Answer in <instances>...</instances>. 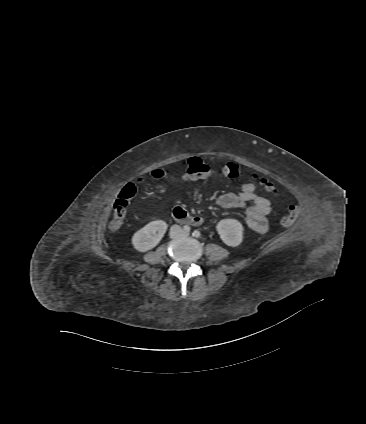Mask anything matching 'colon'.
<instances>
[{"label":"colon","instance_id":"5ec220e1","mask_svg":"<svg viewBox=\"0 0 366 424\" xmlns=\"http://www.w3.org/2000/svg\"><path fill=\"white\" fill-rule=\"evenodd\" d=\"M184 175L186 178H205L210 174V167L200 158L191 157L183 162ZM216 173L220 177L237 179L244 175L242 169L235 163H226L217 168ZM168 174L167 170H155L152 173V178L161 180ZM253 182L257 183L265 193L277 196L278 189L268 180L260 178L257 174H250ZM135 194V188L132 185L125 187L116 201L114 202L109 220V227L112 230H117L121 227L127 211L129 201ZM298 208L290 206L286 212L279 217V222L284 227L291 226L298 217Z\"/></svg>","mask_w":366,"mask_h":424}]
</instances>
